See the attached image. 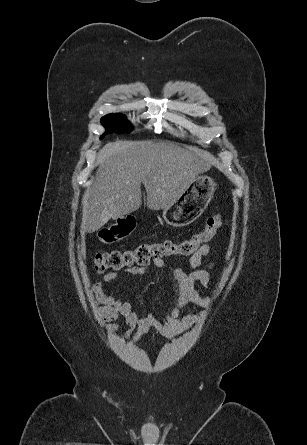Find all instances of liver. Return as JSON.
I'll use <instances>...</instances> for the list:
<instances>
[{
  "label": "liver",
  "instance_id": "6515ba94",
  "mask_svg": "<svg viewBox=\"0 0 307 445\" xmlns=\"http://www.w3.org/2000/svg\"><path fill=\"white\" fill-rule=\"evenodd\" d=\"M96 180L83 208L82 229L95 233L110 218H123L142 204L141 182L151 210L167 208L199 172L209 170L211 156L196 146L171 140H117L101 150Z\"/></svg>",
  "mask_w": 307,
  "mask_h": 445
}]
</instances>
